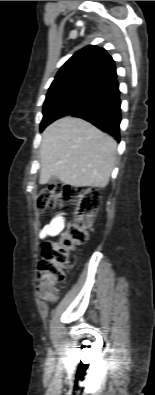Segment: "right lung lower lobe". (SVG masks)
<instances>
[{"mask_svg": "<svg viewBox=\"0 0 155 395\" xmlns=\"http://www.w3.org/2000/svg\"><path fill=\"white\" fill-rule=\"evenodd\" d=\"M119 94V84L115 78L89 102L68 115L80 117L120 141L121 101Z\"/></svg>", "mask_w": 155, "mask_h": 395, "instance_id": "98d812e1", "label": "right lung lower lobe"}]
</instances>
